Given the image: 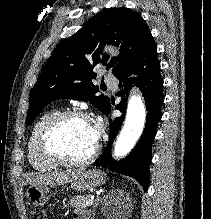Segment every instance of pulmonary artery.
<instances>
[{"instance_id":"e3ab8cb5","label":"pulmonary artery","mask_w":211,"mask_h":219,"mask_svg":"<svg viewBox=\"0 0 211 219\" xmlns=\"http://www.w3.org/2000/svg\"><path fill=\"white\" fill-rule=\"evenodd\" d=\"M106 84L111 88V89H116L117 87V80L113 77H106L105 79Z\"/></svg>"}]
</instances>
